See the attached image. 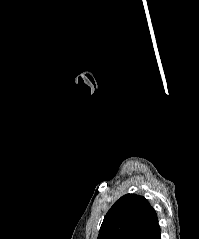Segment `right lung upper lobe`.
I'll list each match as a JSON object with an SVG mask.
<instances>
[{
	"mask_svg": "<svg viewBox=\"0 0 199 239\" xmlns=\"http://www.w3.org/2000/svg\"><path fill=\"white\" fill-rule=\"evenodd\" d=\"M156 224L157 214L148 201L127 194L107 212L97 239H142Z\"/></svg>",
	"mask_w": 199,
	"mask_h": 239,
	"instance_id": "obj_1",
	"label": "right lung upper lobe"
}]
</instances>
